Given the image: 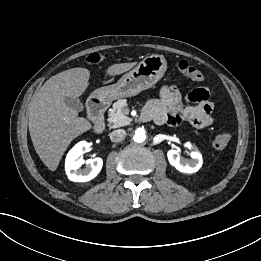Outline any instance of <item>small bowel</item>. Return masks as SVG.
I'll return each instance as SVG.
<instances>
[{
  "instance_id": "c3829d8e",
  "label": "small bowel",
  "mask_w": 261,
  "mask_h": 261,
  "mask_svg": "<svg viewBox=\"0 0 261 261\" xmlns=\"http://www.w3.org/2000/svg\"><path fill=\"white\" fill-rule=\"evenodd\" d=\"M213 108L209 100V89L205 86L190 91L184 99L176 86L165 85L161 88L159 97L147 103L142 119H152L159 125L185 121L197 128H204L214 122Z\"/></svg>"
}]
</instances>
